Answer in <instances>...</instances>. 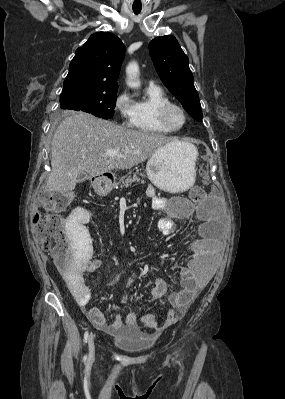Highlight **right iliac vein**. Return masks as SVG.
Here are the masks:
<instances>
[{
    "label": "right iliac vein",
    "instance_id": "63e3f726",
    "mask_svg": "<svg viewBox=\"0 0 285 399\" xmlns=\"http://www.w3.org/2000/svg\"><path fill=\"white\" fill-rule=\"evenodd\" d=\"M88 350H89V359H93L95 356V342H94V334L91 333L88 338Z\"/></svg>",
    "mask_w": 285,
    "mask_h": 399
}]
</instances>
